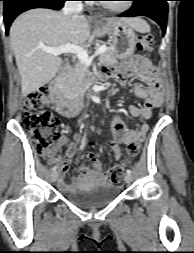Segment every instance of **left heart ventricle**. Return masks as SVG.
Wrapping results in <instances>:
<instances>
[{
  "instance_id": "left-heart-ventricle-1",
  "label": "left heart ventricle",
  "mask_w": 194,
  "mask_h": 253,
  "mask_svg": "<svg viewBox=\"0 0 194 253\" xmlns=\"http://www.w3.org/2000/svg\"><path fill=\"white\" fill-rule=\"evenodd\" d=\"M108 4L113 5V6H121L124 4V2L123 1H111V2H108Z\"/></svg>"
}]
</instances>
